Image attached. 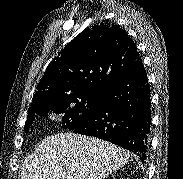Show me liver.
Instances as JSON below:
<instances>
[{
  "label": "liver",
  "mask_w": 183,
  "mask_h": 179,
  "mask_svg": "<svg viewBox=\"0 0 183 179\" xmlns=\"http://www.w3.org/2000/svg\"><path fill=\"white\" fill-rule=\"evenodd\" d=\"M129 153L98 138L60 133L44 138L22 162L21 179H105Z\"/></svg>",
  "instance_id": "liver-1"
}]
</instances>
